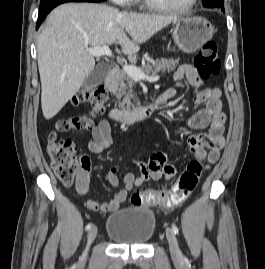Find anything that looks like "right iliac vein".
<instances>
[{"instance_id": "right-iliac-vein-1", "label": "right iliac vein", "mask_w": 265, "mask_h": 269, "mask_svg": "<svg viewBox=\"0 0 265 269\" xmlns=\"http://www.w3.org/2000/svg\"><path fill=\"white\" fill-rule=\"evenodd\" d=\"M97 235V227L93 226L90 228L88 234H87V245H91V243L94 241L95 237Z\"/></svg>"}]
</instances>
